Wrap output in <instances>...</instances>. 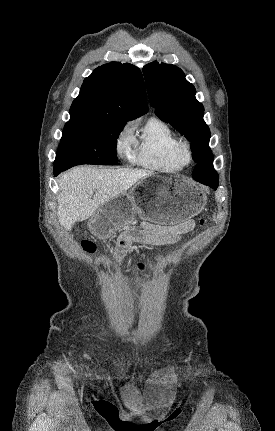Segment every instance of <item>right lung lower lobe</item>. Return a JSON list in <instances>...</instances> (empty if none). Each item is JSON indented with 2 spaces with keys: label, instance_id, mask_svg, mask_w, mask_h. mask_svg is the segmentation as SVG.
I'll return each instance as SVG.
<instances>
[{
  "label": "right lung lower lobe",
  "instance_id": "98d812e1",
  "mask_svg": "<svg viewBox=\"0 0 275 431\" xmlns=\"http://www.w3.org/2000/svg\"><path fill=\"white\" fill-rule=\"evenodd\" d=\"M65 169L63 168H54V176H57L60 172L64 171Z\"/></svg>",
  "mask_w": 275,
  "mask_h": 431
}]
</instances>
